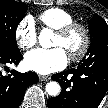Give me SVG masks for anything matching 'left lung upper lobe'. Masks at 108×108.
Segmentation results:
<instances>
[{"instance_id": "left-lung-upper-lobe-1", "label": "left lung upper lobe", "mask_w": 108, "mask_h": 108, "mask_svg": "<svg viewBox=\"0 0 108 108\" xmlns=\"http://www.w3.org/2000/svg\"><path fill=\"white\" fill-rule=\"evenodd\" d=\"M91 44L89 50L79 65H91L94 63H108V25L102 17L95 14L89 23ZM68 100H75V89L66 94Z\"/></svg>"}]
</instances>
